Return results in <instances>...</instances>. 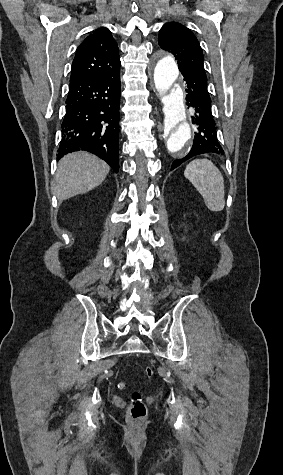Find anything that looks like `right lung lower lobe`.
Instances as JSON below:
<instances>
[{"instance_id":"right-lung-lower-lobe-1","label":"right lung lower lobe","mask_w":283,"mask_h":475,"mask_svg":"<svg viewBox=\"0 0 283 475\" xmlns=\"http://www.w3.org/2000/svg\"><path fill=\"white\" fill-rule=\"evenodd\" d=\"M120 88V70L101 77L70 80L57 160L85 150L118 172Z\"/></svg>"}]
</instances>
